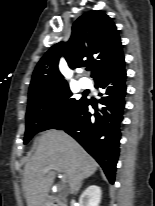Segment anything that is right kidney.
Listing matches in <instances>:
<instances>
[{"instance_id": "ca27d5eb", "label": "right kidney", "mask_w": 155, "mask_h": 206, "mask_svg": "<svg viewBox=\"0 0 155 206\" xmlns=\"http://www.w3.org/2000/svg\"><path fill=\"white\" fill-rule=\"evenodd\" d=\"M101 202V189L97 185H91L81 194L80 206H99Z\"/></svg>"}]
</instances>
